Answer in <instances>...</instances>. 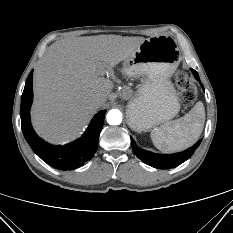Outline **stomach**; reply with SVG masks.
I'll use <instances>...</instances> for the list:
<instances>
[{
  "mask_svg": "<svg viewBox=\"0 0 233 233\" xmlns=\"http://www.w3.org/2000/svg\"><path fill=\"white\" fill-rule=\"evenodd\" d=\"M181 54L169 36L147 38L123 62L125 74L139 78L141 84L127 105V122L136 132H146L167 123L180 110L176 90L170 77L177 69Z\"/></svg>",
  "mask_w": 233,
  "mask_h": 233,
  "instance_id": "1",
  "label": "stomach"
}]
</instances>
